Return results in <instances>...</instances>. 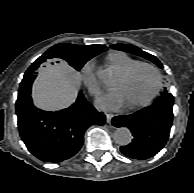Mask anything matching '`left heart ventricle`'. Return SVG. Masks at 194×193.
Instances as JSON below:
<instances>
[{
    "mask_svg": "<svg viewBox=\"0 0 194 193\" xmlns=\"http://www.w3.org/2000/svg\"><path fill=\"white\" fill-rule=\"evenodd\" d=\"M155 85L154 72L147 67H141L127 79L119 76L114 88L120 91L125 105H132L146 100L154 91Z\"/></svg>",
    "mask_w": 194,
    "mask_h": 193,
    "instance_id": "left-heart-ventricle-1",
    "label": "left heart ventricle"
}]
</instances>
